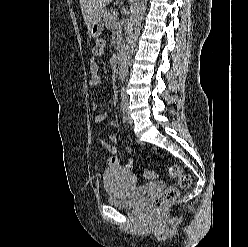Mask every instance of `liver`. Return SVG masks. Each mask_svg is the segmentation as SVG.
Instances as JSON below:
<instances>
[{
    "instance_id": "6515ba94",
    "label": "liver",
    "mask_w": 248,
    "mask_h": 247,
    "mask_svg": "<svg viewBox=\"0 0 248 247\" xmlns=\"http://www.w3.org/2000/svg\"><path fill=\"white\" fill-rule=\"evenodd\" d=\"M112 0H80V7L86 26L90 21L104 11V8L110 4Z\"/></svg>"
}]
</instances>
